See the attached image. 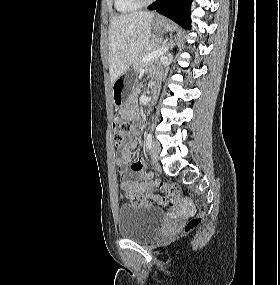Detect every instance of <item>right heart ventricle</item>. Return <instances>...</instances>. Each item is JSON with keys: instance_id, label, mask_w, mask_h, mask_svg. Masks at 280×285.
<instances>
[{"instance_id": "right-heart-ventricle-1", "label": "right heart ventricle", "mask_w": 280, "mask_h": 285, "mask_svg": "<svg viewBox=\"0 0 280 285\" xmlns=\"http://www.w3.org/2000/svg\"><path fill=\"white\" fill-rule=\"evenodd\" d=\"M140 6L134 0H114V7L119 13H131L138 10Z\"/></svg>"}]
</instances>
